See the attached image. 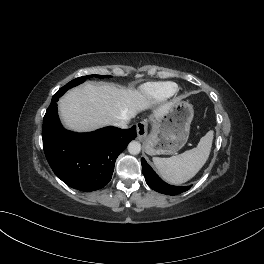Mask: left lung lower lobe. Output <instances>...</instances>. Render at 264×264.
Returning <instances> with one entry per match:
<instances>
[{
    "instance_id": "left-lung-lower-lobe-1",
    "label": "left lung lower lobe",
    "mask_w": 264,
    "mask_h": 264,
    "mask_svg": "<svg viewBox=\"0 0 264 264\" xmlns=\"http://www.w3.org/2000/svg\"><path fill=\"white\" fill-rule=\"evenodd\" d=\"M142 164V172L145 177V180L149 187L157 192L168 194V195H177L180 194L186 190H188L190 187H177L172 186L167 183H165L156 173L155 171L150 167V165L146 162L144 158L141 159Z\"/></svg>"
}]
</instances>
